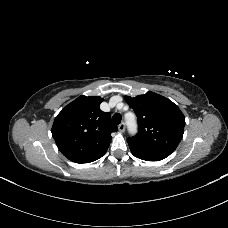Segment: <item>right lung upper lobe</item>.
Here are the masks:
<instances>
[{
	"mask_svg": "<svg viewBox=\"0 0 228 228\" xmlns=\"http://www.w3.org/2000/svg\"><path fill=\"white\" fill-rule=\"evenodd\" d=\"M103 98L80 96L61 110L52 135L62 154L77 162L107 150L117 127L110 113L100 110Z\"/></svg>",
	"mask_w": 228,
	"mask_h": 228,
	"instance_id": "1",
	"label": "right lung upper lobe"
}]
</instances>
